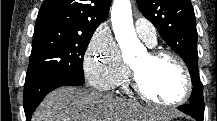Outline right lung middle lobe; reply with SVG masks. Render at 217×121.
Wrapping results in <instances>:
<instances>
[{"mask_svg":"<svg viewBox=\"0 0 217 121\" xmlns=\"http://www.w3.org/2000/svg\"><path fill=\"white\" fill-rule=\"evenodd\" d=\"M93 34L57 25L35 27L25 83L53 73L84 82L83 58Z\"/></svg>","mask_w":217,"mask_h":121,"instance_id":"right-lung-middle-lobe-1","label":"right lung middle lobe"}]
</instances>
